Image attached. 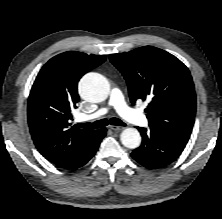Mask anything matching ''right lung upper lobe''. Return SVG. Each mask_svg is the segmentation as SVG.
<instances>
[{
	"label": "right lung upper lobe",
	"instance_id": "obj_1",
	"mask_svg": "<svg viewBox=\"0 0 222 219\" xmlns=\"http://www.w3.org/2000/svg\"><path fill=\"white\" fill-rule=\"evenodd\" d=\"M106 60L102 55L64 52L40 70L28 99L29 129L38 151L58 167L68 168L97 130L69 127L79 102L80 78Z\"/></svg>",
	"mask_w": 222,
	"mask_h": 219
}]
</instances>
